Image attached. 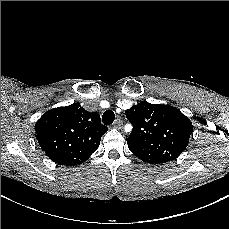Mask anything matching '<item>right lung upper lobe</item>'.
I'll use <instances>...</instances> for the list:
<instances>
[{
	"label": "right lung upper lobe",
	"instance_id": "cb5924a9",
	"mask_svg": "<svg viewBox=\"0 0 229 229\" xmlns=\"http://www.w3.org/2000/svg\"><path fill=\"white\" fill-rule=\"evenodd\" d=\"M107 130L100 115L86 111L80 103L49 110L35 124L41 149L52 161L66 166L86 161Z\"/></svg>",
	"mask_w": 229,
	"mask_h": 229
}]
</instances>
